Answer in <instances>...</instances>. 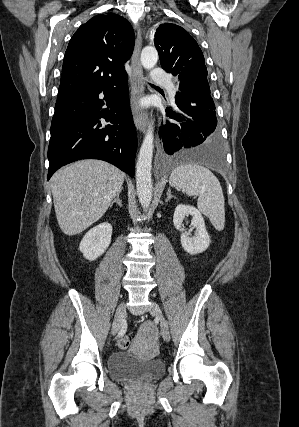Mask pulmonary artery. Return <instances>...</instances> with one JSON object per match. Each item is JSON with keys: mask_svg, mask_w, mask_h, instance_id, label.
I'll use <instances>...</instances> for the list:
<instances>
[{"mask_svg": "<svg viewBox=\"0 0 299 427\" xmlns=\"http://www.w3.org/2000/svg\"><path fill=\"white\" fill-rule=\"evenodd\" d=\"M151 79L156 83L165 85L168 90V94L170 97H174L176 95V88L171 82L169 76L164 72L163 69L159 67H154L151 71Z\"/></svg>", "mask_w": 299, "mask_h": 427, "instance_id": "pulmonary-artery-1", "label": "pulmonary artery"}]
</instances>
